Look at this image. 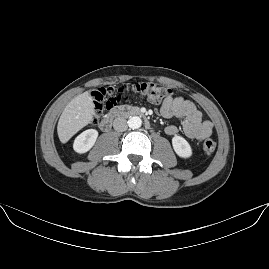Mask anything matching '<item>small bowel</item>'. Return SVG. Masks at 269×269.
<instances>
[{
    "label": "small bowel",
    "instance_id": "1",
    "mask_svg": "<svg viewBox=\"0 0 269 269\" xmlns=\"http://www.w3.org/2000/svg\"><path fill=\"white\" fill-rule=\"evenodd\" d=\"M158 112L164 118H179L185 135L192 140L203 141L213 132L212 123L203 120L202 113L195 104L183 97H168ZM177 131V128L173 125L166 128V133L169 135H175Z\"/></svg>",
    "mask_w": 269,
    "mask_h": 269
}]
</instances>
